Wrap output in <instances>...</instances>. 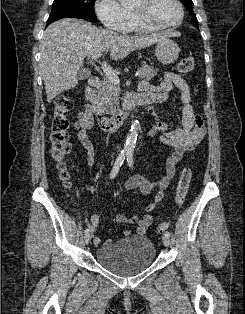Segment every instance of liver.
I'll return each instance as SVG.
<instances>
[{"instance_id":"obj_1","label":"liver","mask_w":245,"mask_h":314,"mask_svg":"<svg viewBox=\"0 0 245 314\" xmlns=\"http://www.w3.org/2000/svg\"><path fill=\"white\" fill-rule=\"evenodd\" d=\"M179 35V32H162L132 36L99 29L81 19L56 21L46 29L40 43V69L47 101L77 86L85 57L109 50L111 59L117 61L132 51Z\"/></svg>"}]
</instances>
